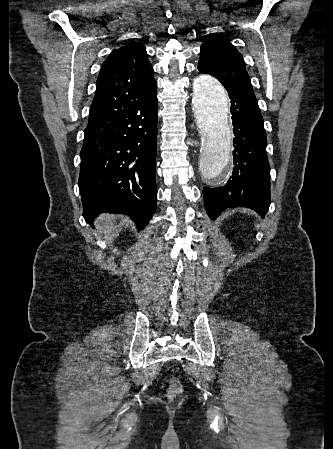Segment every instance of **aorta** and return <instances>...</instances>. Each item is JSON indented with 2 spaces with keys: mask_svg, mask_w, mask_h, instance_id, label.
<instances>
[{
  "mask_svg": "<svg viewBox=\"0 0 333 449\" xmlns=\"http://www.w3.org/2000/svg\"><path fill=\"white\" fill-rule=\"evenodd\" d=\"M193 107L205 138L204 147L197 156L199 175L204 183L217 188L231 165L229 97L221 83L202 73L193 83Z\"/></svg>",
  "mask_w": 333,
  "mask_h": 449,
  "instance_id": "1",
  "label": "aorta"
}]
</instances>
